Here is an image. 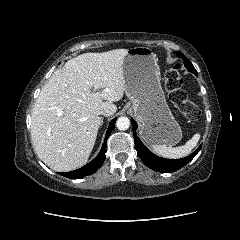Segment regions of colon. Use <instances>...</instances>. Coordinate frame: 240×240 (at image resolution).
Listing matches in <instances>:
<instances>
[{"label": "colon", "mask_w": 240, "mask_h": 240, "mask_svg": "<svg viewBox=\"0 0 240 240\" xmlns=\"http://www.w3.org/2000/svg\"><path fill=\"white\" fill-rule=\"evenodd\" d=\"M182 77L178 65L169 67L165 73L164 86L168 92L171 102L178 110L189 119L200 117L199 108L188 98L182 88Z\"/></svg>", "instance_id": "obj_1"}]
</instances>
